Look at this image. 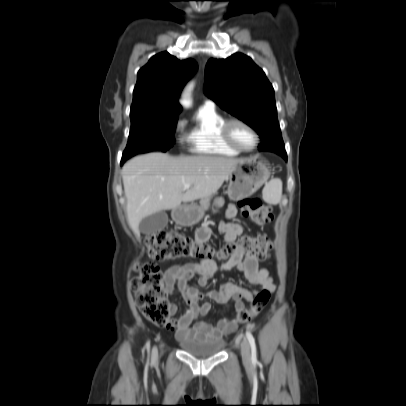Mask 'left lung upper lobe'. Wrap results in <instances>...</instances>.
<instances>
[{"instance_id":"1","label":"left lung upper lobe","mask_w":406,"mask_h":406,"mask_svg":"<svg viewBox=\"0 0 406 406\" xmlns=\"http://www.w3.org/2000/svg\"><path fill=\"white\" fill-rule=\"evenodd\" d=\"M204 93L260 135L259 150L286 155L273 87L250 57L235 53L227 59H210Z\"/></svg>"}]
</instances>
